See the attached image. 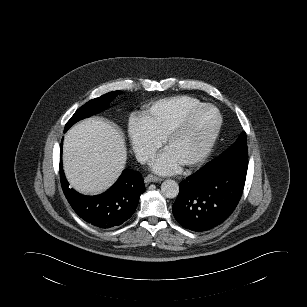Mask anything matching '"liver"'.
<instances>
[{
    "mask_svg": "<svg viewBox=\"0 0 307 307\" xmlns=\"http://www.w3.org/2000/svg\"><path fill=\"white\" fill-rule=\"evenodd\" d=\"M122 133L100 118L86 119L64 137L63 168L71 187L83 194H98L119 177L126 163Z\"/></svg>",
    "mask_w": 307,
    "mask_h": 307,
    "instance_id": "6515ba94",
    "label": "liver"
}]
</instances>
